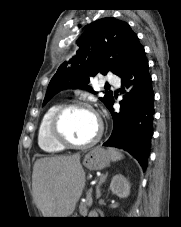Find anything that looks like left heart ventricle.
<instances>
[{"label":"left heart ventricle","mask_w":181,"mask_h":227,"mask_svg":"<svg viewBox=\"0 0 181 227\" xmlns=\"http://www.w3.org/2000/svg\"><path fill=\"white\" fill-rule=\"evenodd\" d=\"M61 129L69 140L83 143L95 136L98 130V122L90 111L76 108L64 115L61 121Z\"/></svg>","instance_id":"1"}]
</instances>
